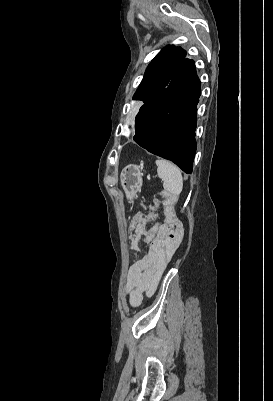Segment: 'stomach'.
Here are the masks:
<instances>
[{
    "label": "stomach",
    "mask_w": 273,
    "mask_h": 401,
    "mask_svg": "<svg viewBox=\"0 0 273 401\" xmlns=\"http://www.w3.org/2000/svg\"><path fill=\"white\" fill-rule=\"evenodd\" d=\"M142 176L143 172H141V168L137 166V164H127V166L123 168L120 174V182L129 201H133V198H137V194L140 192L143 182Z\"/></svg>",
    "instance_id": "obj_1"
}]
</instances>
